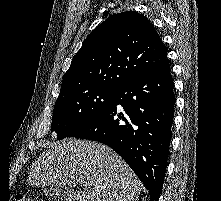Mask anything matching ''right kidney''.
I'll return each mask as SVG.
<instances>
[{"instance_id":"1","label":"right kidney","mask_w":221,"mask_h":201,"mask_svg":"<svg viewBox=\"0 0 221 201\" xmlns=\"http://www.w3.org/2000/svg\"><path fill=\"white\" fill-rule=\"evenodd\" d=\"M121 201H127L126 199H122Z\"/></svg>"}]
</instances>
